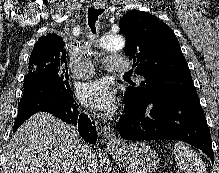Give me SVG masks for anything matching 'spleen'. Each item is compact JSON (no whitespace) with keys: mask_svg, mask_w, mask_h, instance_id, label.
<instances>
[{"mask_svg":"<svg viewBox=\"0 0 219 173\" xmlns=\"http://www.w3.org/2000/svg\"><path fill=\"white\" fill-rule=\"evenodd\" d=\"M174 156L178 167L185 173H207L201 158L184 143L175 144Z\"/></svg>","mask_w":219,"mask_h":173,"instance_id":"spleen-1","label":"spleen"}]
</instances>
